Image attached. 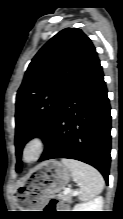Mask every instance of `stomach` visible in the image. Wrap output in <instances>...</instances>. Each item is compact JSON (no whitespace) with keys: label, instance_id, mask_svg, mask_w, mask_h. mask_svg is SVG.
Instances as JSON below:
<instances>
[{"label":"stomach","instance_id":"obj_1","mask_svg":"<svg viewBox=\"0 0 123 219\" xmlns=\"http://www.w3.org/2000/svg\"><path fill=\"white\" fill-rule=\"evenodd\" d=\"M71 177L66 165L57 160H48L38 165L21 183L16 192V203L20 211H40L49 198L65 188Z\"/></svg>","mask_w":123,"mask_h":219}]
</instances>
